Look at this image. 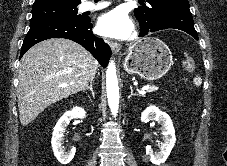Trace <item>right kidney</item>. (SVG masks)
Here are the masks:
<instances>
[{
  "instance_id": "right-kidney-1",
  "label": "right kidney",
  "mask_w": 227,
  "mask_h": 166,
  "mask_svg": "<svg viewBox=\"0 0 227 166\" xmlns=\"http://www.w3.org/2000/svg\"><path fill=\"white\" fill-rule=\"evenodd\" d=\"M86 117V111L83 108L75 107L70 111L64 113V115L58 120L54 127L52 135V149L55 157L61 164H68L74 158L76 148L72 147L69 152L64 151L63 141L66 127L69 125L72 119H84Z\"/></svg>"
}]
</instances>
